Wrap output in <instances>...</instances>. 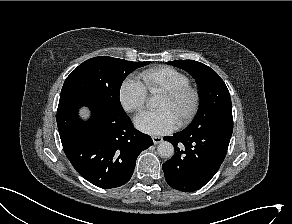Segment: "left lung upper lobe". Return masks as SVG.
<instances>
[{
    "label": "left lung upper lobe",
    "instance_id": "1",
    "mask_svg": "<svg viewBox=\"0 0 292 224\" xmlns=\"http://www.w3.org/2000/svg\"><path fill=\"white\" fill-rule=\"evenodd\" d=\"M167 64L187 71L196 80L199 88V109L185 130L197 132L216 125L233 124L229 91L213 69L194 60H176Z\"/></svg>",
    "mask_w": 292,
    "mask_h": 224
}]
</instances>
